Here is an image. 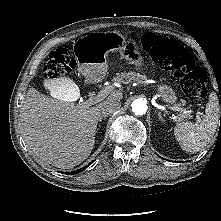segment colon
<instances>
[{
    "label": "colon",
    "mask_w": 221,
    "mask_h": 221,
    "mask_svg": "<svg viewBox=\"0 0 221 221\" xmlns=\"http://www.w3.org/2000/svg\"><path fill=\"white\" fill-rule=\"evenodd\" d=\"M141 43L152 61L179 81L184 93L190 99L201 100L206 96L205 70L196 66L191 55L178 42L154 33H145ZM75 67L73 50L71 46L64 44L51 52L44 73L46 75L54 72L65 75L71 73Z\"/></svg>",
    "instance_id": "colon-1"
}]
</instances>
